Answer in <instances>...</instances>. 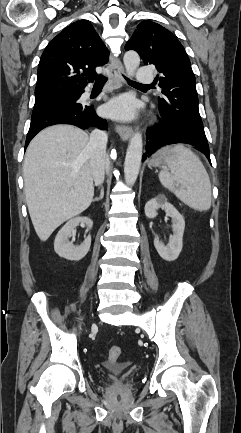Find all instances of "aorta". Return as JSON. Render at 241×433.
<instances>
[{"label":"aorta","instance_id":"762f6f07","mask_svg":"<svg viewBox=\"0 0 241 433\" xmlns=\"http://www.w3.org/2000/svg\"><path fill=\"white\" fill-rule=\"evenodd\" d=\"M123 61L127 75L132 77L140 64L139 55L135 51H128L124 54ZM142 149V134L137 131L130 139L124 162L125 182L129 186H133L137 180L142 159Z\"/></svg>","mask_w":241,"mask_h":433}]
</instances>
